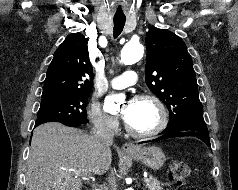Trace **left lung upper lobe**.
Masks as SVG:
<instances>
[{
    "mask_svg": "<svg viewBox=\"0 0 238 190\" xmlns=\"http://www.w3.org/2000/svg\"><path fill=\"white\" fill-rule=\"evenodd\" d=\"M146 83L167 106L168 126L204 120L191 56L176 34L153 27L146 33Z\"/></svg>",
    "mask_w": 238,
    "mask_h": 190,
    "instance_id": "obj_1",
    "label": "left lung upper lobe"
}]
</instances>
